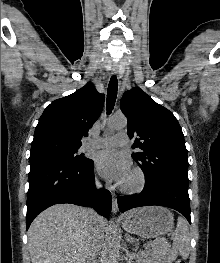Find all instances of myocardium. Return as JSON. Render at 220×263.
<instances>
[{
    "instance_id": "obj_1",
    "label": "myocardium",
    "mask_w": 220,
    "mask_h": 263,
    "mask_svg": "<svg viewBox=\"0 0 220 263\" xmlns=\"http://www.w3.org/2000/svg\"><path fill=\"white\" fill-rule=\"evenodd\" d=\"M136 177V183L132 186L120 185L119 190L127 195L140 193L146 184L145 173L140 168H134L131 172Z\"/></svg>"
}]
</instances>
